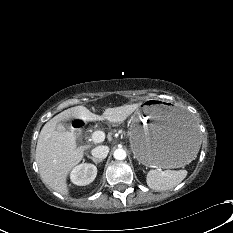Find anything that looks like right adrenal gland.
Returning <instances> with one entry per match:
<instances>
[{
    "mask_svg": "<svg viewBox=\"0 0 233 233\" xmlns=\"http://www.w3.org/2000/svg\"><path fill=\"white\" fill-rule=\"evenodd\" d=\"M88 158H90L95 164L100 163V162L103 161L102 159H96V158L91 157V156H88Z\"/></svg>",
    "mask_w": 233,
    "mask_h": 233,
    "instance_id": "1",
    "label": "right adrenal gland"
}]
</instances>
